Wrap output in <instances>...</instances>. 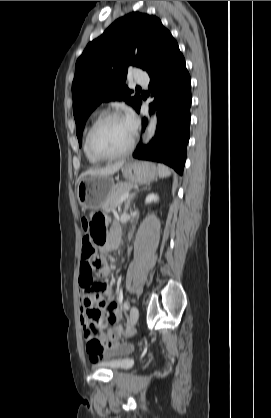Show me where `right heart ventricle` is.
Returning <instances> with one entry per match:
<instances>
[{"instance_id":"1","label":"right heart ventricle","mask_w":271,"mask_h":418,"mask_svg":"<svg viewBox=\"0 0 271 418\" xmlns=\"http://www.w3.org/2000/svg\"><path fill=\"white\" fill-rule=\"evenodd\" d=\"M83 149H84L85 156H86V158L88 159V161H89L90 163L96 164V163H99V162L101 161L100 159H98V158L94 157V156H93V155L89 152V150H88V148H87V145H86V138H85V141H84V147H83Z\"/></svg>"}]
</instances>
